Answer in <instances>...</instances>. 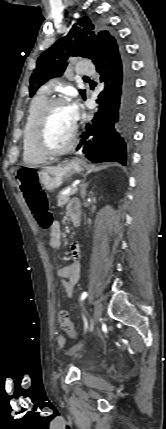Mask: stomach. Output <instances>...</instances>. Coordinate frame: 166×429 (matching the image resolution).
<instances>
[{"label":"stomach","mask_w":166,"mask_h":429,"mask_svg":"<svg viewBox=\"0 0 166 429\" xmlns=\"http://www.w3.org/2000/svg\"><path fill=\"white\" fill-rule=\"evenodd\" d=\"M84 163L79 159L66 162L63 165L48 166L38 172V180L48 192H53L74 173H81Z\"/></svg>","instance_id":"1"}]
</instances>
